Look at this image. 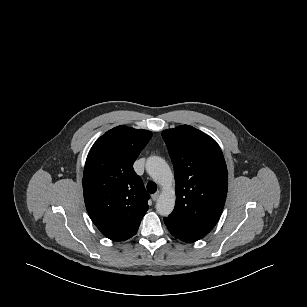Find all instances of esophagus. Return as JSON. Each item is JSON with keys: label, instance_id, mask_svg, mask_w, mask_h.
Segmentation results:
<instances>
[{"label": "esophagus", "instance_id": "34e87169", "mask_svg": "<svg viewBox=\"0 0 307 307\" xmlns=\"http://www.w3.org/2000/svg\"><path fill=\"white\" fill-rule=\"evenodd\" d=\"M159 194H160L159 192H157V193H155V194H152V196H151V197H152V200H153V201H157V199L159 198Z\"/></svg>", "mask_w": 307, "mask_h": 307}]
</instances>
